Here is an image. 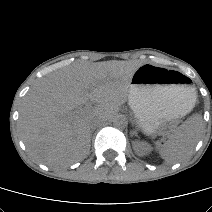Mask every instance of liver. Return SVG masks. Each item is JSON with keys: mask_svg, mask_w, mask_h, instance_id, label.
Returning a JSON list of instances; mask_svg holds the SVG:
<instances>
[{"mask_svg": "<svg viewBox=\"0 0 212 212\" xmlns=\"http://www.w3.org/2000/svg\"><path fill=\"white\" fill-rule=\"evenodd\" d=\"M138 67L127 61L74 63L41 79L25 96L20 110L19 132L30 155L48 166L86 157L90 119H109L129 100ZM87 102L95 106L73 112Z\"/></svg>", "mask_w": 212, "mask_h": 212, "instance_id": "liver-1", "label": "liver"}]
</instances>
